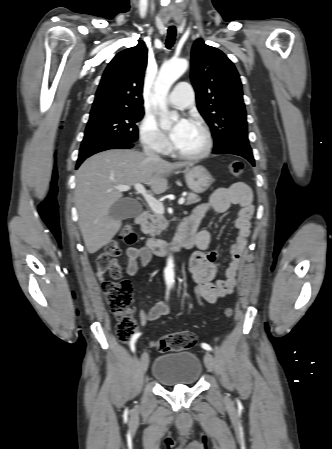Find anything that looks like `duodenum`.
<instances>
[{"instance_id": "obj_1", "label": "duodenum", "mask_w": 332, "mask_h": 449, "mask_svg": "<svg viewBox=\"0 0 332 449\" xmlns=\"http://www.w3.org/2000/svg\"><path fill=\"white\" fill-rule=\"evenodd\" d=\"M147 211H142L136 217V223L142 225L147 220ZM195 227L190 217L185 218L179 226L176 236L172 241L148 238L146 247L156 255H165L169 250L179 251L189 249L194 245Z\"/></svg>"}]
</instances>
